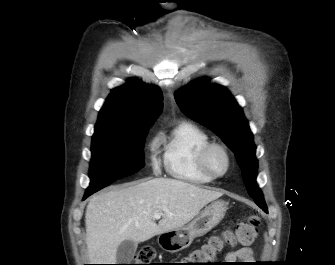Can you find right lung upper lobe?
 I'll return each mask as SVG.
<instances>
[{
    "instance_id": "obj_1",
    "label": "right lung upper lobe",
    "mask_w": 335,
    "mask_h": 265,
    "mask_svg": "<svg viewBox=\"0 0 335 265\" xmlns=\"http://www.w3.org/2000/svg\"><path fill=\"white\" fill-rule=\"evenodd\" d=\"M162 100L158 87L131 79L125 86L112 90L99 112L95 133L151 125L162 109Z\"/></svg>"
}]
</instances>
